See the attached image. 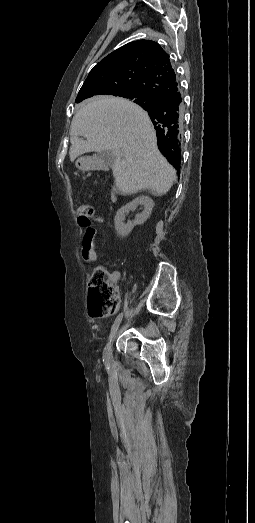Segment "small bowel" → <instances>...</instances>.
I'll list each match as a JSON object with an SVG mask.
<instances>
[{
	"label": "small bowel",
	"instance_id": "obj_1",
	"mask_svg": "<svg viewBox=\"0 0 255 523\" xmlns=\"http://www.w3.org/2000/svg\"><path fill=\"white\" fill-rule=\"evenodd\" d=\"M94 220L97 222H104L105 219L103 216H95ZM97 238V229L94 226H88L85 229L82 245H81V254L82 257L88 262H94L97 260V253L95 250ZM113 280L117 283L120 279L119 272H113Z\"/></svg>",
	"mask_w": 255,
	"mask_h": 523
}]
</instances>
